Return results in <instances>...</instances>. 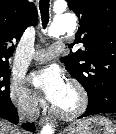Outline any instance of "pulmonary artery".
Here are the masks:
<instances>
[{
  "instance_id": "pulmonary-artery-1",
  "label": "pulmonary artery",
  "mask_w": 116,
  "mask_h": 134,
  "mask_svg": "<svg viewBox=\"0 0 116 134\" xmlns=\"http://www.w3.org/2000/svg\"><path fill=\"white\" fill-rule=\"evenodd\" d=\"M65 50L63 43H55L48 48L36 51L33 54V59L40 62H45L53 59L54 57L60 55Z\"/></svg>"
}]
</instances>
